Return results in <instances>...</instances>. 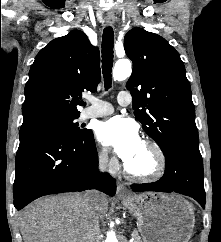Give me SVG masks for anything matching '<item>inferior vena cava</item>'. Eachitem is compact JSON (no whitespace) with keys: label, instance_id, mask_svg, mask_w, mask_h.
Instances as JSON below:
<instances>
[{"label":"inferior vena cava","instance_id":"inferior-vena-cava-1","mask_svg":"<svg viewBox=\"0 0 221 242\" xmlns=\"http://www.w3.org/2000/svg\"><path fill=\"white\" fill-rule=\"evenodd\" d=\"M106 154L104 155V160L100 164V170L104 171L106 169ZM100 193L96 190H89L83 195V207L88 219L87 224V237L85 242H95L99 233V199Z\"/></svg>","mask_w":221,"mask_h":242}]
</instances>
